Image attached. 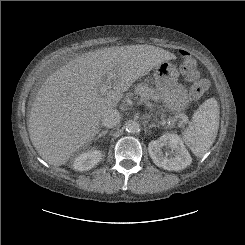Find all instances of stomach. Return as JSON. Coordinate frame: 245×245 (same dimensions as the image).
Wrapping results in <instances>:
<instances>
[{
  "label": "stomach",
  "mask_w": 245,
  "mask_h": 245,
  "mask_svg": "<svg viewBox=\"0 0 245 245\" xmlns=\"http://www.w3.org/2000/svg\"><path fill=\"white\" fill-rule=\"evenodd\" d=\"M178 77L176 66L168 61L157 65L153 73L157 95L171 113L184 111L190 102L188 91L178 82Z\"/></svg>",
  "instance_id": "obj_1"
}]
</instances>
